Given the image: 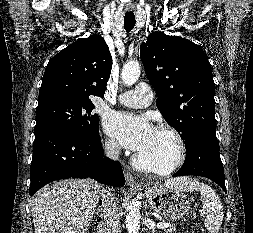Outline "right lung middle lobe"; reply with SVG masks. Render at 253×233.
<instances>
[{
	"instance_id": "right-lung-middle-lobe-1",
	"label": "right lung middle lobe",
	"mask_w": 253,
	"mask_h": 233,
	"mask_svg": "<svg viewBox=\"0 0 253 233\" xmlns=\"http://www.w3.org/2000/svg\"><path fill=\"white\" fill-rule=\"evenodd\" d=\"M90 99L54 97L38 103L35 134L43 130H64L81 137L99 133V117Z\"/></svg>"
}]
</instances>
